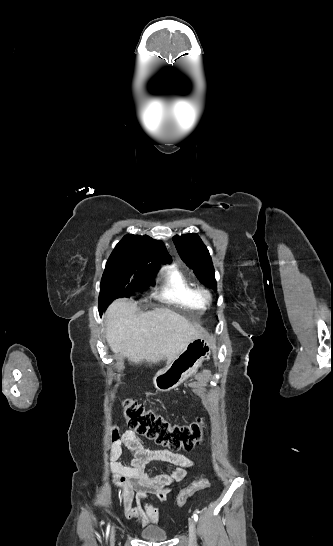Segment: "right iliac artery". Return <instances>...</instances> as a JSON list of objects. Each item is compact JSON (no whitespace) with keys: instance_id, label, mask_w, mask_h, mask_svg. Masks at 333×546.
Listing matches in <instances>:
<instances>
[{"instance_id":"right-iliac-artery-1","label":"right iliac artery","mask_w":333,"mask_h":546,"mask_svg":"<svg viewBox=\"0 0 333 546\" xmlns=\"http://www.w3.org/2000/svg\"><path fill=\"white\" fill-rule=\"evenodd\" d=\"M109 534V526L107 527L106 537H108Z\"/></svg>"}]
</instances>
